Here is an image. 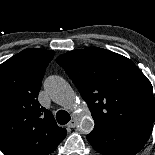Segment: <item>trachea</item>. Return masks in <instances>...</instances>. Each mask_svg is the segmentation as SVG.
Masks as SVG:
<instances>
[{
    "label": "trachea",
    "instance_id": "3493384b",
    "mask_svg": "<svg viewBox=\"0 0 155 155\" xmlns=\"http://www.w3.org/2000/svg\"><path fill=\"white\" fill-rule=\"evenodd\" d=\"M56 119L59 124L64 125L70 121L71 117L67 111L59 110L56 113Z\"/></svg>",
    "mask_w": 155,
    "mask_h": 155
}]
</instances>
